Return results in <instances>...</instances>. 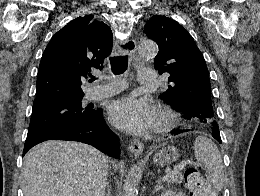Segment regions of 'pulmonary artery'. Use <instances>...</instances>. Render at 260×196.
Here are the masks:
<instances>
[{"label": "pulmonary artery", "instance_id": "obj_1", "mask_svg": "<svg viewBox=\"0 0 260 196\" xmlns=\"http://www.w3.org/2000/svg\"><path fill=\"white\" fill-rule=\"evenodd\" d=\"M140 74L139 84H154L153 77L156 76L154 69H140ZM123 83V79H118L117 81H111V85H97L89 87L86 91V98L89 101H95L112 96L122 90L120 86Z\"/></svg>", "mask_w": 260, "mask_h": 196}]
</instances>
